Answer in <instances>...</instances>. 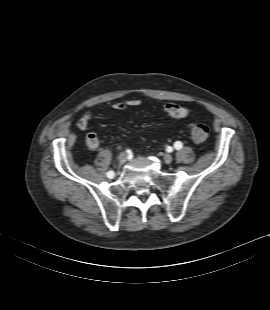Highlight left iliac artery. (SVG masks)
<instances>
[{"instance_id": "1", "label": "left iliac artery", "mask_w": 270, "mask_h": 310, "mask_svg": "<svg viewBox=\"0 0 270 310\" xmlns=\"http://www.w3.org/2000/svg\"><path fill=\"white\" fill-rule=\"evenodd\" d=\"M174 147L175 149L180 150L183 147V145L180 141H177L175 142Z\"/></svg>"}]
</instances>
